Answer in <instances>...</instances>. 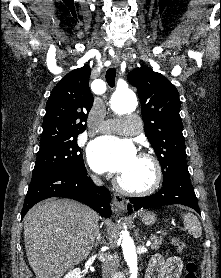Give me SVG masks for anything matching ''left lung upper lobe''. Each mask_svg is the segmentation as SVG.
<instances>
[{"label": "left lung upper lobe", "instance_id": "5c2ea615", "mask_svg": "<svg viewBox=\"0 0 221 278\" xmlns=\"http://www.w3.org/2000/svg\"><path fill=\"white\" fill-rule=\"evenodd\" d=\"M127 78L140 96L145 134L161 165L163 180L187 169L177 89L162 74L146 66L133 69Z\"/></svg>", "mask_w": 221, "mask_h": 278}]
</instances>
